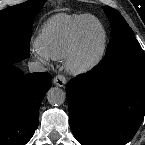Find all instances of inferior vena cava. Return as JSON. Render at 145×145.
Here are the masks:
<instances>
[{
    "instance_id": "602c4592",
    "label": "inferior vena cava",
    "mask_w": 145,
    "mask_h": 145,
    "mask_svg": "<svg viewBox=\"0 0 145 145\" xmlns=\"http://www.w3.org/2000/svg\"><path fill=\"white\" fill-rule=\"evenodd\" d=\"M29 71L30 72H45L46 68L40 62H29L28 63Z\"/></svg>"
}]
</instances>
